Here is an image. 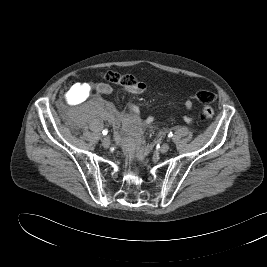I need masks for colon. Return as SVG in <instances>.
<instances>
[{
  "instance_id": "colon-1",
  "label": "colon",
  "mask_w": 267,
  "mask_h": 267,
  "mask_svg": "<svg viewBox=\"0 0 267 267\" xmlns=\"http://www.w3.org/2000/svg\"><path fill=\"white\" fill-rule=\"evenodd\" d=\"M102 76L107 82L124 87H133L140 83L134 76L130 74H120L115 71H108ZM195 98L199 103L202 104L203 116L207 119H212L214 116V111L211 105L216 99L215 94L210 91L203 90L197 92Z\"/></svg>"
}]
</instances>
